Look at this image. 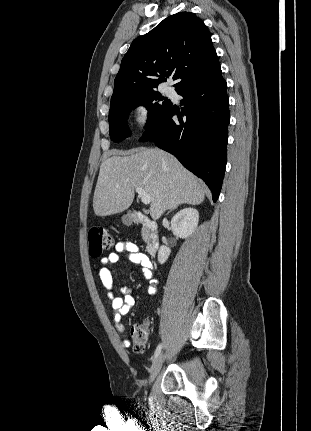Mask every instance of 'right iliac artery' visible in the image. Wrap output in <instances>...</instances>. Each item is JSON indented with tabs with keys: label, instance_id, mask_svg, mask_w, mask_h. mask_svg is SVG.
<instances>
[{
	"label": "right iliac artery",
	"instance_id": "obj_1",
	"mask_svg": "<svg viewBox=\"0 0 311 431\" xmlns=\"http://www.w3.org/2000/svg\"><path fill=\"white\" fill-rule=\"evenodd\" d=\"M161 349H162V344H159L155 350L154 358H156L160 354Z\"/></svg>",
	"mask_w": 311,
	"mask_h": 431
}]
</instances>
